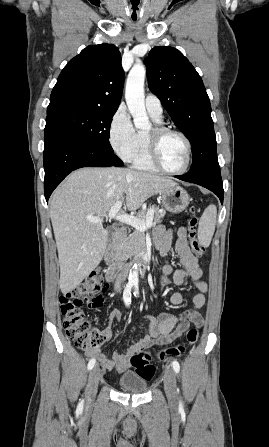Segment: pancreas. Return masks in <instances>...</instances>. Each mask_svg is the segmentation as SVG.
Wrapping results in <instances>:
<instances>
[{
    "label": "pancreas",
    "mask_w": 269,
    "mask_h": 447,
    "mask_svg": "<svg viewBox=\"0 0 269 447\" xmlns=\"http://www.w3.org/2000/svg\"><path fill=\"white\" fill-rule=\"evenodd\" d=\"M153 210L155 216L154 222L160 224L162 218H165L166 216V210H164V208H159V206H153ZM159 210H162V214H160ZM146 214L147 210H139L137 218H139V220H145ZM143 241H145L144 231H139V229H135V231L129 233V235H123L115 247L114 259H116V261H123V259L132 257V255L138 257L143 247Z\"/></svg>",
    "instance_id": "pancreas-1"
}]
</instances>
